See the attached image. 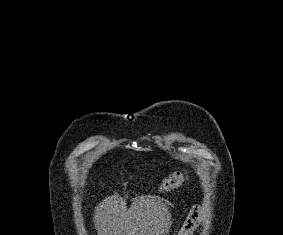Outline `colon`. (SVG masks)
<instances>
[{"mask_svg": "<svg viewBox=\"0 0 283 235\" xmlns=\"http://www.w3.org/2000/svg\"><path fill=\"white\" fill-rule=\"evenodd\" d=\"M188 178L186 171H175L168 175L161 183V190L162 191H169L171 189L179 187L183 184ZM190 228L186 227V223L184 228L181 230L180 235H188Z\"/></svg>", "mask_w": 283, "mask_h": 235, "instance_id": "colon-1", "label": "colon"}]
</instances>
